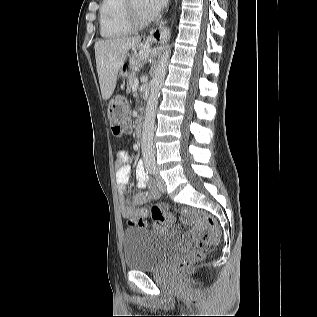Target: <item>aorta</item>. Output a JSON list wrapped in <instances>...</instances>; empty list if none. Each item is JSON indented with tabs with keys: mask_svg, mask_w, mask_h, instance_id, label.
I'll return each mask as SVG.
<instances>
[{
	"mask_svg": "<svg viewBox=\"0 0 317 317\" xmlns=\"http://www.w3.org/2000/svg\"><path fill=\"white\" fill-rule=\"evenodd\" d=\"M170 53V46L167 45L164 49L163 54L159 58V62L154 71V76L149 84L150 95L147 101L141 139L142 155L145 166L147 167H153L155 165V154L153 145L154 124L160 90L166 77Z\"/></svg>",
	"mask_w": 317,
	"mask_h": 317,
	"instance_id": "762f6f07",
	"label": "aorta"
}]
</instances>
